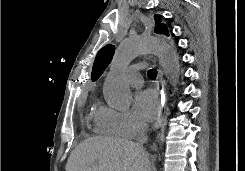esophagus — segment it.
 Masks as SVG:
<instances>
[{"mask_svg": "<svg viewBox=\"0 0 245 171\" xmlns=\"http://www.w3.org/2000/svg\"><path fill=\"white\" fill-rule=\"evenodd\" d=\"M156 86L159 94V102H160V107L159 111L157 113L156 120L153 125V130L156 131L159 129L162 123L163 115L166 112L167 109V104H168V95L165 87V82L163 80V73L161 69L158 70V76L156 80ZM153 149H156V145L152 146Z\"/></svg>", "mask_w": 245, "mask_h": 171, "instance_id": "esophagus-1", "label": "esophagus"}]
</instances>
